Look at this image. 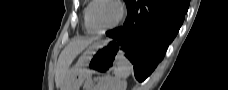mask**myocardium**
<instances>
[{
	"label": "myocardium",
	"instance_id": "f54148a6",
	"mask_svg": "<svg viewBox=\"0 0 228 90\" xmlns=\"http://www.w3.org/2000/svg\"><path fill=\"white\" fill-rule=\"evenodd\" d=\"M99 1L111 2L114 5H116V7L118 9V15H117L116 19L114 20V22L112 24H110L109 26L103 28V29H96L92 25V22H91V11H92V8ZM124 16H125V9H124V6L121 3V1H119V0H93V1H91V4H90V6L88 8V11H87V25H88V27L91 29V31L93 33L101 34V33H105L107 31L115 28L116 26H118L122 22V20L124 19Z\"/></svg>",
	"mask_w": 228,
	"mask_h": 90
}]
</instances>
